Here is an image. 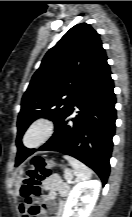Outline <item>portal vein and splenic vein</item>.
<instances>
[{
    "label": "portal vein and splenic vein",
    "instance_id": "obj_1",
    "mask_svg": "<svg viewBox=\"0 0 132 217\" xmlns=\"http://www.w3.org/2000/svg\"><path fill=\"white\" fill-rule=\"evenodd\" d=\"M71 179H72V176L70 175V178L67 180V182L71 183Z\"/></svg>",
    "mask_w": 132,
    "mask_h": 217
}]
</instances>
